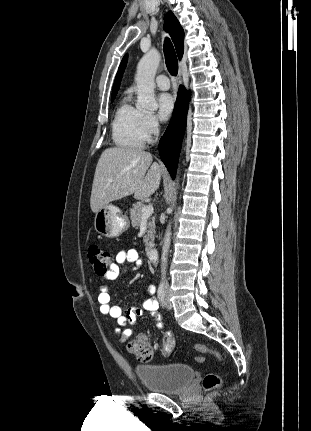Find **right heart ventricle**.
Instances as JSON below:
<instances>
[{
	"label": "right heart ventricle",
	"instance_id": "e07e8e85",
	"mask_svg": "<svg viewBox=\"0 0 311 431\" xmlns=\"http://www.w3.org/2000/svg\"><path fill=\"white\" fill-rule=\"evenodd\" d=\"M112 140L118 149H141L147 140L145 112L124 98L112 122Z\"/></svg>",
	"mask_w": 311,
	"mask_h": 431
}]
</instances>
